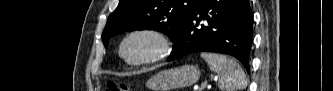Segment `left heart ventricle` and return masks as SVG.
I'll list each match as a JSON object with an SVG mask.
<instances>
[{
    "label": "left heart ventricle",
    "mask_w": 333,
    "mask_h": 91,
    "mask_svg": "<svg viewBox=\"0 0 333 91\" xmlns=\"http://www.w3.org/2000/svg\"><path fill=\"white\" fill-rule=\"evenodd\" d=\"M153 52V44L150 40L143 37H135L131 39L124 48L127 58L137 60L148 56Z\"/></svg>",
    "instance_id": "1"
}]
</instances>
